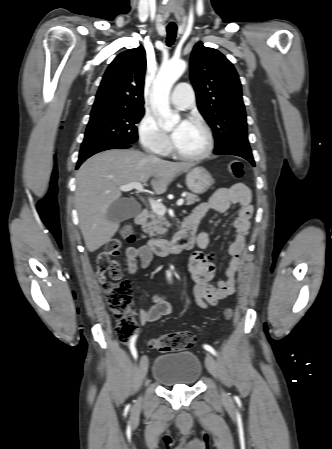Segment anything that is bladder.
I'll return each mask as SVG.
<instances>
[{
	"mask_svg": "<svg viewBox=\"0 0 332 449\" xmlns=\"http://www.w3.org/2000/svg\"><path fill=\"white\" fill-rule=\"evenodd\" d=\"M202 375V364L195 353L174 352L156 357L153 379L166 387L192 386Z\"/></svg>",
	"mask_w": 332,
	"mask_h": 449,
	"instance_id": "bladder-1",
	"label": "bladder"
}]
</instances>
